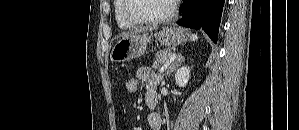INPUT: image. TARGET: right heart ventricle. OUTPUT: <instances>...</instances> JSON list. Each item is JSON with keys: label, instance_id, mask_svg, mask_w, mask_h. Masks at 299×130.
I'll return each instance as SVG.
<instances>
[{"label": "right heart ventricle", "instance_id": "1", "mask_svg": "<svg viewBox=\"0 0 299 130\" xmlns=\"http://www.w3.org/2000/svg\"><path fill=\"white\" fill-rule=\"evenodd\" d=\"M125 0L114 1L115 20L120 29L127 30L135 27V24L129 22L124 15Z\"/></svg>", "mask_w": 299, "mask_h": 130}]
</instances>
